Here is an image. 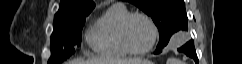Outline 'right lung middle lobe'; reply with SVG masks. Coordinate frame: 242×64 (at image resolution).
Returning a JSON list of instances; mask_svg holds the SVG:
<instances>
[{"label":"right lung middle lobe","instance_id":"1","mask_svg":"<svg viewBox=\"0 0 242 64\" xmlns=\"http://www.w3.org/2000/svg\"><path fill=\"white\" fill-rule=\"evenodd\" d=\"M88 14L63 21H54L51 35V57L48 64H59L74 54V46L81 44V32Z\"/></svg>","mask_w":242,"mask_h":64}]
</instances>
